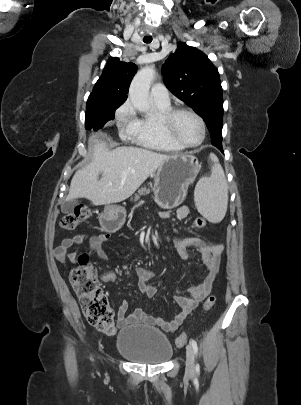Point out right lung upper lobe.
<instances>
[{"mask_svg":"<svg viewBox=\"0 0 301 405\" xmlns=\"http://www.w3.org/2000/svg\"><path fill=\"white\" fill-rule=\"evenodd\" d=\"M136 71L137 66L132 62H120L118 58L109 60L87 104L101 102L108 107L118 108L127 98L128 88Z\"/></svg>","mask_w":301,"mask_h":405,"instance_id":"1","label":"right lung upper lobe"}]
</instances>
